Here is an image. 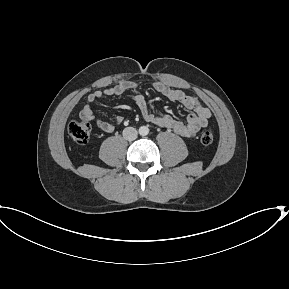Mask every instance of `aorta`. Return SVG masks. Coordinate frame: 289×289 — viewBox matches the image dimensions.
I'll return each mask as SVG.
<instances>
[{"mask_svg": "<svg viewBox=\"0 0 289 289\" xmlns=\"http://www.w3.org/2000/svg\"><path fill=\"white\" fill-rule=\"evenodd\" d=\"M148 133H149L148 127H146V126H141V127L139 128V134H140L141 136H146V135H148Z\"/></svg>", "mask_w": 289, "mask_h": 289, "instance_id": "obj_1", "label": "aorta"}]
</instances>
